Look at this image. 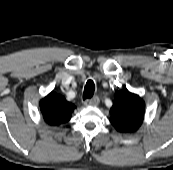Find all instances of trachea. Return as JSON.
Here are the masks:
<instances>
[{"label":"trachea","mask_w":173,"mask_h":170,"mask_svg":"<svg viewBox=\"0 0 173 170\" xmlns=\"http://www.w3.org/2000/svg\"><path fill=\"white\" fill-rule=\"evenodd\" d=\"M95 90V84L92 80H88L85 87H84V92H83V99H90Z\"/></svg>","instance_id":"1"}]
</instances>
